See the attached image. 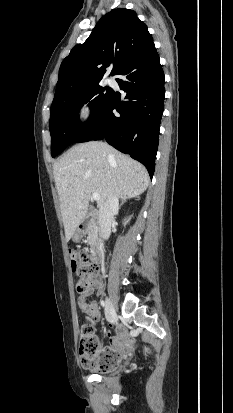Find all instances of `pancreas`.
I'll return each mask as SVG.
<instances>
[{
    "instance_id": "pancreas-1",
    "label": "pancreas",
    "mask_w": 233,
    "mask_h": 413,
    "mask_svg": "<svg viewBox=\"0 0 233 413\" xmlns=\"http://www.w3.org/2000/svg\"><path fill=\"white\" fill-rule=\"evenodd\" d=\"M99 230L96 226L91 225L88 229V243L94 245L98 240Z\"/></svg>"
}]
</instances>
